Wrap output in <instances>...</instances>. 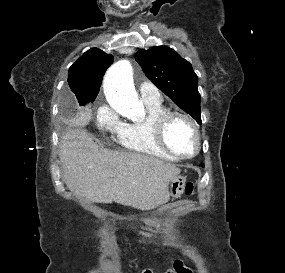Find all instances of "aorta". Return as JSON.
<instances>
[{"mask_svg":"<svg viewBox=\"0 0 285 273\" xmlns=\"http://www.w3.org/2000/svg\"><path fill=\"white\" fill-rule=\"evenodd\" d=\"M103 88L109 105L119 114L130 118L145 115L144 105L134 88L133 68L128 60H120L108 69Z\"/></svg>","mask_w":285,"mask_h":273,"instance_id":"obj_1","label":"aorta"}]
</instances>
